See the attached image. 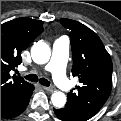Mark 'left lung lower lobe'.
Listing matches in <instances>:
<instances>
[{"label":"left lung lower lobe","mask_w":121,"mask_h":121,"mask_svg":"<svg viewBox=\"0 0 121 121\" xmlns=\"http://www.w3.org/2000/svg\"><path fill=\"white\" fill-rule=\"evenodd\" d=\"M54 112L57 115V117L63 121H84L74 116L71 112H69L65 108L54 109Z\"/></svg>","instance_id":"left-lung-lower-lobe-1"}]
</instances>
